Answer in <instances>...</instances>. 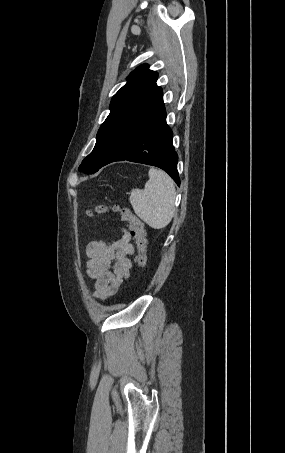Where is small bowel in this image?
Returning a JSON list of instances; mask_svg holds the SVG:
<instances>
[{
  "instance_id": "small-bowel-1",
  "label": "small bowel",
  "mask_w": 285,
  "mask_h": 453,
  "mask_svg": "<svg viewBox=\"0 0 285 453\" xmlns=\"http://www.w3.org/2000/svg\"><path fill=\"white\" fill-rule=\"evenodd\" d=\"M135 252L131 234L123 230L121 238L113 241L93 240L86 247L87 274L94 280V295L106 299L114 295L129 278Z\"/></svg>"
}]
</instances>
